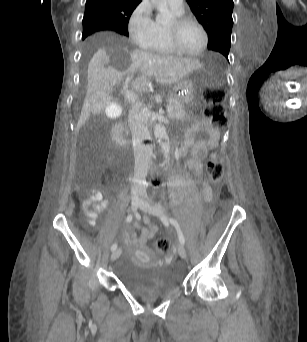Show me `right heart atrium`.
<instances>
[{
  "instance_id": "d8ad5b80",
  "label": "right heart atrium",
  "mask_w": 307,
  "mask_h": 342,
  "mask_svg": "<svg viewBox=\"0 0 307 342\" xmlns=\"http://www.w3.org/2000/svg\"><path fill=\"white\" fill-rule=\"evenodd\" d=\"M127 33L133 44L144 46L158 37L159 30L147 9L140 5L128 17Z\"/></svg>"
}]
</instances>
